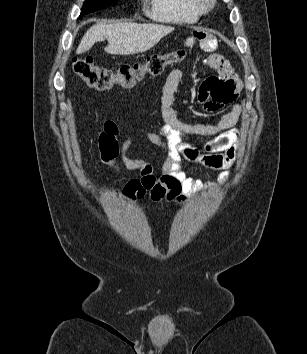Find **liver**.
Returning a JSON list of instances; mask_svg holds the SVG:
<instances>
[{
    "mask_svg": "<svg viewBox=\"0 0 307 354\" xmlns=\"http://www.w3.org/2000/svg\"><path fill=\"white\" fill-rule=\"evenodd\" d=\"M174 27L159 24H137L128 22L97 23L83 36L76 54L89 51L96 42L107 39L105 51L111 55H132L154 47Z\"/></svg>",
    "mask_w": 307,
    "mask_h": 354,
    "instance_id": "liver-1",
    "label": "liver"
}]
</instances>
